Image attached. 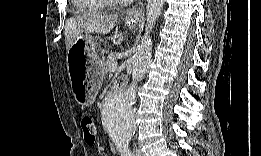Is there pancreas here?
Instances as JSON below:
<instances>
[{
	"label": "pancreas",
	"mask_w": 261,
	"mask_h": 156,
	"mask_svg": "<svg viewBox=\"0 0 261 156\" xmlns=\"http://www.w3.org/2000/svg\"><path fill=\"white\" fill-rule=\"evenodd\" d=\"M113 64H117V54L116 53H110L106 59V61L102 64L101 67V74L105 75L110 72L111 66Z\"/></svg>",
	"instance_id": "cf45deb5"
}]
</instances>
